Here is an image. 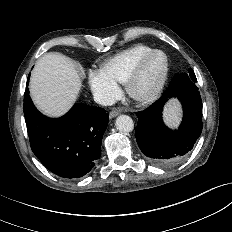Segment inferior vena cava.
Instances as JSON below:
<instances>
[{"mask_svg":"<svg viewBox=\"0 0 232 232\" xmlns=\"http://www.w3.org/2000/svg\"><path fill=\"white\" fill-rule=\"evenodd\" d=\"M94 101L103 106H109L114 104V99L105 93H95Z\"/></svg>","mask_w":232,"mask_h":232,"instance_id":"inferior-vena-cava-1","label":"inferior vena cava"}]
</instances>
